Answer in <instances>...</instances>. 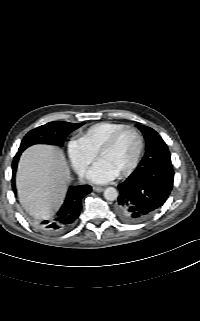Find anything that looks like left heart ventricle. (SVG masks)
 Returning <instances> with one entry per match:
<instances>
[{
    "instance_id": "left-heart-ventricle-1",
    "label": "left heart ventricle",
    "mask_w": 200,
    "mask_h": 321,
    "mask_svg": "<svg viewBox=\"0 0 200 321\" xmlns=\"http://www.w3.org/2000/svg\"><path fill=\"white\" fill-rule=\"evenodd\" d=\"M138 148V139L133 132H126L114 147L103 152L105 161L117 174L123 172L133 161Z\"/></svg>"
}]
</instances>
